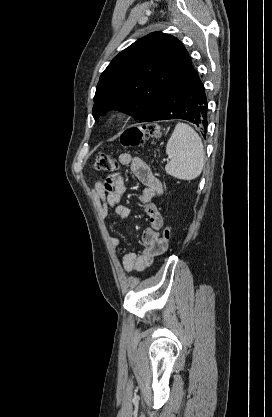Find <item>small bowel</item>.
<instances>
[{"label":"small bowel","mask_w":272,"mask_h":417,"mask_svg":"<svg viewBox=\"0 0 272 417\" xmlns=\"http://www.w3.org/2000/svg\"><path fill=\"white\" fill-rule=\"evenodd\" d=\"M118 160L123 165H129L133 175L144 185L140 194V201L145 206L149 223L142 236L145 249L141 253L129 252L122 259V266L125 271L140 272L149 267L154 258L163 254L167 248V243L160 236V230L164 224L163 217L152 203L155 198L162 195L163 184L153 175L149 166L141 158L129 153H121L118 155ZM125 192V180L121 174L97 180L91 188L93 199L98 205L99 213L103 218L108 216L110 208H113L114 213L122 219L130 215L131 209L122 204ZM110 243L114 247H119L121 239L112 237Z\"/></svg>","instance_id":"small-bowel-1"}]
</instances>
